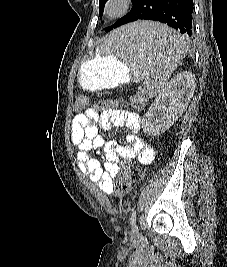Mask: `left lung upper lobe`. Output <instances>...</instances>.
<instances>
[{
    "instance_id": "1",
    "label": "left lung upper lobe",
    "mask_w": 227,
    "mask_h": 267,
    "mask_svg": "<svg viewBox=\"0 0 227 267\" xmlns=\"http://www.w3.org/2000/svg\"><path fill=\"white\" fill-rule=\"evenodd\" d=\"M106 2H107V0H99V13H100V16H102V14H103V8H104V5H105Z\"/></svg>"
}]
</instances>
